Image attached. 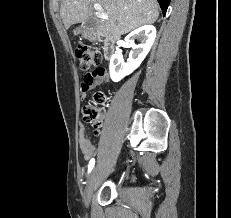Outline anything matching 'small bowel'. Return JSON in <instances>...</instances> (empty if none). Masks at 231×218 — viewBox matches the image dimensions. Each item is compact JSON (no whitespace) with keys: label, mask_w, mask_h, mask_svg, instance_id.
<instances>
[{"label":"small bowel","mask_w":231,"mask_h":218,"mask_svg":"<svg viewBox=\"0 0 231 218\" xmlns=\"http://www.w3.org/2000/svg\"><path fill=\"white\" fill-rule=\"evenodd\" d=\"M85 74L81 84L82 97H85L91 89L109 81V75L103 68L85 69ZM79 148L86 161L91 159L96 150L95 144L87 137L86 128L82 123L79 124Z\"/></svg>","instance_id":"obj_1"}]
</instances>
